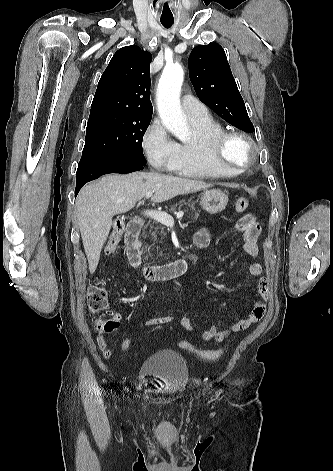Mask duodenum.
Wrapping results in <instances>:
<instances>
[{
  "label": "duodenum",
  "mask_w": 333,
  "mask_h": 471,
  "mask_svg": "<svg viewBox=\"0 0 333 471\" xmlns=\"http://www.w3.org/2000/svg\"><path fill=\"white\" fill-rule=\"evenodd\" d=\"M143 220L135 218L131 220L125 233V247L127 257L132 267L140 269L144 277L151 282L164 281L179 276L188 271L190 262L186 258L178 259L163 265H144L139 244V234L143 227Z\"/></svg>",
  "instance_id": "duodenum-1"
}]
</instances>
